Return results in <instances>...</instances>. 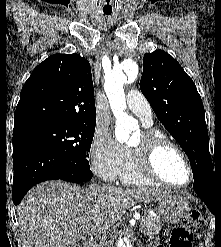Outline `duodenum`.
<instances>
[{
    "instance_id": "duodenum-1",
    "label": "duodenum",
    "mask_w": 221,
    "mask_h": 247,
    "mask_svg": "<svg viewBox=\"0 0 221 247\" xmlns=\"http://www.w3.org/2000/svg\"><path fill=\"white\" fill-rule=\"evenodd\" d=\"M87 247H95V244H94V243H89V244L87 245Z\"/></svg>"
}]
</instances>
